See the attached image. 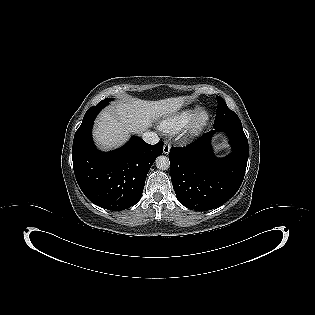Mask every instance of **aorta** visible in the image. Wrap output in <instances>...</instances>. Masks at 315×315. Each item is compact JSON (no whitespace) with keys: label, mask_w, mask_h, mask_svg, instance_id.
<instances>
[{"label":"aorta","mask_w":315,"mask_h":315,"mask_svg":"<svg viewBox=\"0 0 315 315\" xmlns=\"http://www.w3.org/2000/svg\"><path fill=\"white\" fill-rule=\"evenodd\" d=\"M155 163L156 167L160 170H167L170 167L169 158L164 155L158 156Z\"/></svg>","instance_id":"aorta-1"}]
</instances>
